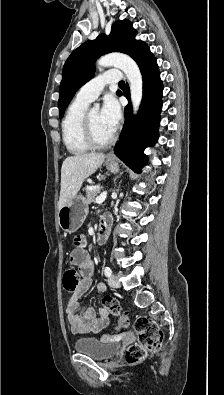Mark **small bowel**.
<instances>
[{"instance_id": "obj_1", "label": "small bowel", "mask_w": 224, "mask_h": 395, "mask_svg": "<svg viewBox=\"0 0 224 395\" xmlns=\"http://www.w3.org/2000/svg\"><path fill=\"white\" fill-rule=\"evenodd\" d=\"M85 243L84 239L77 238L76 247L70 256L71 262L79 267L82 276L65 307V315L69 328L75 335L98 333L109 324V310L105 306L101 307L98 313L92 307L80 310L81 299L91 287V276L94 270V263L85 249ZM96 290L99 295H104L106 285L99 283Z\"/></svg>"}]
</instances>
